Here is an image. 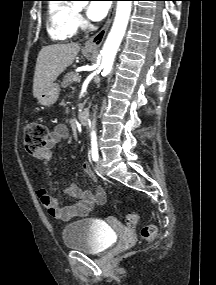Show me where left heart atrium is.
Returning <instances> with one entry per match:
<instances>
[{"label": "left heart atrium", "mask_w": 216, "mask_h": 285, "mask_svg": "<svg viewBox=\"0 0 216 285\" xmlns=\"http://www.w3.org/2000/svg\"><path fill=\"white\" fill-rule=\"evenodd\" d=\"M110 8L109 1H92L87 7V16L93 21L102 20Z\"/></svg>", "instance_id": "39dd6f15"}]
</instances>
